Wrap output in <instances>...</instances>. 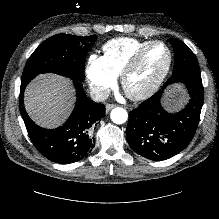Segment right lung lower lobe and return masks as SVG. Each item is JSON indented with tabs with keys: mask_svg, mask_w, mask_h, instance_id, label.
Instances as JSON below:
<instances>
[{
	"mask_svg": "<svg viewBox=\"0 0 219 219\" xmlns=\"http://www.w3.org/2000/svg\"><path fill=\"white\" fill-rule=\"evenodd\" d=\"M77 102L69 119L56 129L37 126L27 115L23 104L25 88H20L19 108L29 137L37 150L56 163L69 164L85 157L94 147L88 131L105 116V106L91 101L81 81L74 80Z\"/></svg>",
	"mask_w": 219,
	"mask_h": 219,
	"instance_id": "obj_1",
	"label": "right lung lower lobe"
}]
</instances>
